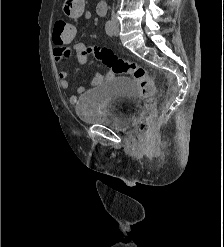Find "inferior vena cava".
I'll return each instance as SVG.
<instances>
[{
    "label": "inferior vena cava",
    "instance_id": "obj_1",
    "mask_svg": "<svg viewBox=\"0 0 224 247\" xmlns=\"http://www.w3.org/2000/svg\"><path fill=\"white\" fill-rule=\"evenodd\" d=\"M111 20H112L114 26H118V22H117V18H116V16H115L114 8H113V10H112Z\"/></svg>",
    "mask_w": 224,
    "mask_h": 247
}]
</instances>
